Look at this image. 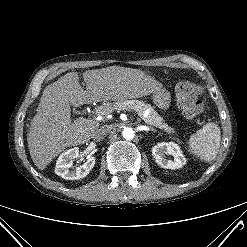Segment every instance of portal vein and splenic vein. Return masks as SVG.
I'll use <instances>...</instances> for the list:
<instances>
[{"mask_svg":"<svg viewBox=\"0 0 247 247\" xmlns=\"http://www.w3.org/2000/svg\"><path fill=\"white\" fill-rule=\"evenodd\" d=\"M110 112H112V108H105V107H103V106H100V107H98V108L95 110V113H96L97 115H105V114L110 113ZM144 115H147V113H145Z\"/></svg>","mask_w":247,"mask_h":247,"instance_id":"portal-vein-and-splenic-vein-1","label":"portal vein and splenic vein"}]
</instances>
